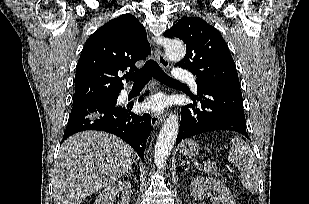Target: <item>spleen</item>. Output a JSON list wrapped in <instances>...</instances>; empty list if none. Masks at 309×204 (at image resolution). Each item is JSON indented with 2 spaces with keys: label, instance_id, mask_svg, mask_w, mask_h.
<instances>
[{
  "label": "spleen",
  "instance_id": "spleen-1",
  "mask_svg": "<svg viewBox=\"0 0 309 204\" xmlns=\"http://www.w3.org/2000/svg\"><path fill=\"white\" fill-rule=\"evenodd\" d=\"M228 160L240 171L242 185L251 192H257L259 170L255 156L249 145L241 138L235 137L231 141Z\"/></svg>",
  "mask_w": 309,
  "mask_h": 204
}]
</instances>
